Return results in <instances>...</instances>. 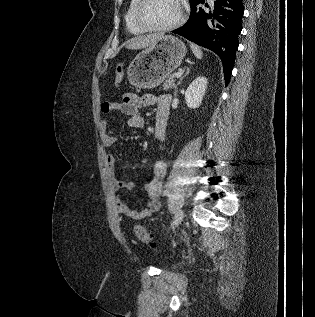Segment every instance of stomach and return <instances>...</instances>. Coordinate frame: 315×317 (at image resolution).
I'll use <instances>...</instances> for the list:
<instances>
[{
	"label": "stomach",
	"instance_id": "1",
	"mask_svg": "<svg viewBox=\"0 0 315 317\" xmlns=\"http://www.w3.org/2000/svg\"><path fill=\"white\" fill-rule=\"evenodd\" d=\"M186 52L184 43L177 37H161L131 61L127 71L129 83L136 88L157 87L180 66Z\"/></svg>",
	"mask_w": 315,
	"mask_h": 317
}]
</instances>
